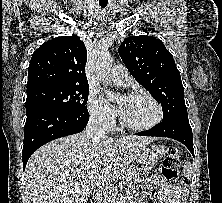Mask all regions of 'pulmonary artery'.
<instances>
[{
  "label": "pulmonary artery",
  "mask_w": 222,
  "mask_h": 203,
  "mask_svg": "<svg viewBox=\"0 0 222 203\" xmlns=\"http://www.w3.org/2000/svg\"><path fill=\"white\" fill-rule=\"evenodd\" d=\"M111 79L116 85H127L129 81L128 70L123 65L114 66L111 71Z\"/></svg>",
  "instance_id": "pulmonary-artery-1"
}]
</instances>
